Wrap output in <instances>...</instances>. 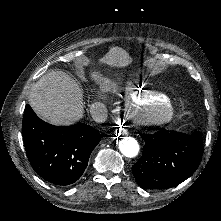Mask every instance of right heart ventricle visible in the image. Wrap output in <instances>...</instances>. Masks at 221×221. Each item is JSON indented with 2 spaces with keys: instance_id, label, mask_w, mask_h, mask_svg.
Wrapping results in <instances>:
<instances>
[{
  "instance_id": "right-heart-ventricle-1",
  "label": "right heart ventricle",
  "mask_w": 221,
  "mask_h": 221,
  "mask_svg": "<svg viewBox=\"0 0 221 221\" xmlns=\"http://www.w3.org/2000/svg\"><path fill=\"white\" fill-rule=\"evenodd\" d=\"M133 100L137 104H142L143 107L148 108H156V107H161V108H168L172 104V100L168 96H163L161 98H157L156 94L153 92H150L148 94L144 92H137L133 96Z\"/></svg>"
}]
</instances>
